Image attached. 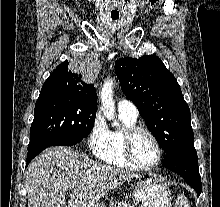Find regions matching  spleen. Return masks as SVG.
<instances>
[{"mask_svg":"<svg viewBox=\"0 0 220 207\" xmlns=\"http://www.w3.org/2000/svg\"><path fill=\"white\" fill-rule=\"evenodd\" d=\"M175 205L176 207H189L184 195H178Z\"/></svg>","mask_w":220,"mask_h":207,"instance_id":"3e777b00","label":"spleen"}]
</instances>
